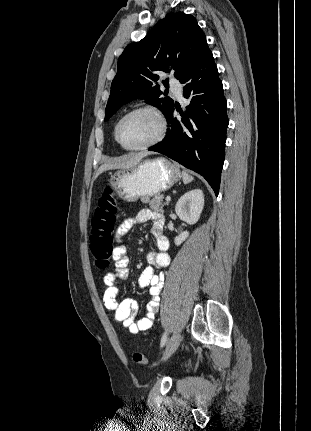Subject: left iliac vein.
I'll return each instance as SVG.
<instances>
[{
	"mask_svg": "<svg viewBox=\"0 0 311 431\" xmlns=\"http://www.w3.org/2000/svg\"><path fill=\"white\" fill-rule=\"evenodd\" d=\"M182 336L179 332H175L170 340L168 341L162 359L167 360L178 348L181 342Z\"/></svg>",
	"mask_w": 311,
	"mask_h": 431,
	"instance_id": "obj_1",
	"label": "left iliac vein"
}]
</instances>
